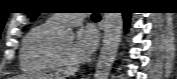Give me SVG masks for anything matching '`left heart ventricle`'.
<instances>
[{
	"label": "left heart ventricle",
	"instance_id": "obj_1",
	"mask_svg": "<svg viewBox=\"0 0 177 79\" xmlns=\"http://www.w3.org/2000/svg\"><path fill=\"white\" fill-rule=\"evenodd\" d=\"M77 26H78L77 24L71 25L70 29H75ZM71 46H72L71 41L61 42L57 45L63 62L69 66L76 65V63L71 57Z\"/></svg>",
	"mask_w": 177,
	"mask_h": 79
}]
</instances>
